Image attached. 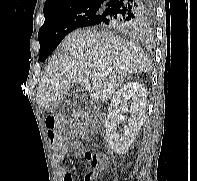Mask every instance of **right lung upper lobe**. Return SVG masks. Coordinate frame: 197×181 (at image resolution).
Instances as JSON below:
<instances>
[{
    "instance_id": "right-lung-upper-lobe-1",
    "label": "right lung upper lobe",
    "mask_w": 197,
    "mask_h": 181,
    "mask_svg": "<svg viewBox=\"0 0 197 181\" xmlns=\"http://www.w3.org/2000/svg\"><path fill=\"white\" fill-rule=\"evenodd\" d=\"M109 0H47L44 6V16L61 13L85 5L104 6Z\"/></svg>"
}]
</instances>
